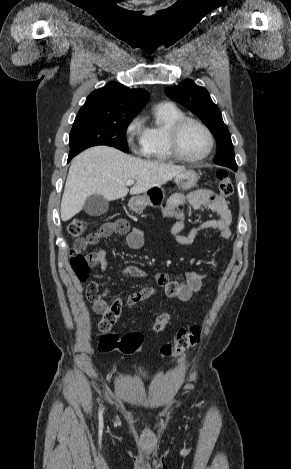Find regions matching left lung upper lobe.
Instances as JSON below:
<instances>
[{
	"label": "left lung upper lobe",
	"mask_w": 291,
	"mask_h": 469,
	"mask_svg": "<svg viewBox=\"0 0 291 469\" xmlns=\"http://www.w3.org/2000/svg\"><path fill=\"white\" fill-rule=\"evenodd\" d=\"M166 95L195 113L209 128L217 141V153L214 162L237 170L233 144L221 112L215 105L204 87L196 85L192 80H185L177 86L165 89Z\"/></svg>",
	"instance_id": "left-lung-upper-lobe-1"
}]
</instances>
